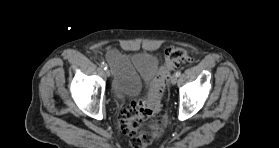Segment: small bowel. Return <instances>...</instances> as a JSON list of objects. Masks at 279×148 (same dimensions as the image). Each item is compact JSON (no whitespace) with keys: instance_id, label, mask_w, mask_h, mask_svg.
Segmentation results:
<instances>
[{"instance_id":"c3829d8e","label":"small bowel","mask_w":279,"mask_h":148,"mask_svg":"<svg viewBox=\"0 0 279 148\" xmlns=\"http://www.w3.org/2000/svg\"><path fill=\"white\" fill-rule=\"evenodd\" d=\"M107 59L113 66L115 73V93L118 99H122L121 92L137 95L141 89V81L135 70L128 64L125 57L117 52H110Z\"/></svg>"}]
</instances>
